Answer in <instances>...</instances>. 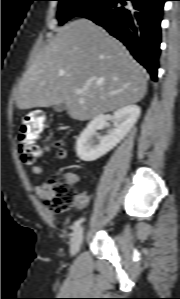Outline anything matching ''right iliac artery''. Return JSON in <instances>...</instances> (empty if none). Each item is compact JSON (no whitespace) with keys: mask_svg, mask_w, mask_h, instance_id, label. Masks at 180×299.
Here are the masks:
<instances>
[{"mask_svg":"<svg viewBox=\"0 0 180 299\" xmlns=\"http://www.w3.org/2000/svg\"><path fill=\"white\" fill-rule=\"evenodd\" d=\"M84 218H80L79 220H77L74 225H73V234L78 230V228L80 227L81 223L83 222Z\"/></svg>","mask_w":180,"mask_h":299,"instance_id":"82829eb1","label":"right iliac artery"}]
</instances>
